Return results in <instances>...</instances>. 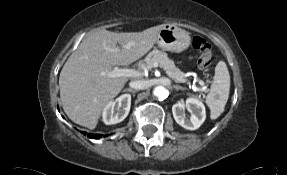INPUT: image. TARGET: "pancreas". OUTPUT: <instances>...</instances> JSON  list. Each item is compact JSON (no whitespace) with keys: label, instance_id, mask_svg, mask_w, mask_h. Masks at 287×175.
<instances>
[{"label":"pancreas","instance_id":"cf45deb5","mask_svg":"<svg viewBox=\"0 0 287 175\" xmlns=\"http://www.w3.org/2000/svg\"><path fill=\"white\" fill-rule=\"evenodd\" d=\"M145 65L150 69L154 63H158L166 74L176 82H184L185 74L176 67L173 60L169 59L165 52L154 49L144 59Z\"/></svg>","mask_w":287,"mask_h":175}]
</instances>
